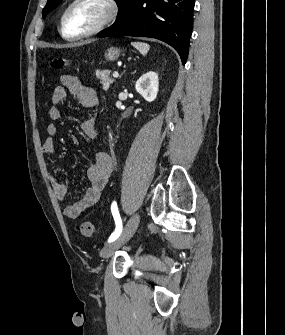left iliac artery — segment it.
Masks as SVG:
<instances>
[{
    "instance_id": "44dca946",
    "label": "left iliac artery",
    "mask_w": 285,
    "mask_h": 335,
    "mask_svg": "<svg viewBox=\"0 0 285 335\" xmlns=\"http://www.w3.org/2000/svg\"><path fill=\"white\" fill-rule=\"evenodd\" d=\"M111 212L115 220L116 228L108 239V242L116 240L122 232V220L118 211L117 203L113 202L111 205Z\"/></svg>"
}]
</instances>
